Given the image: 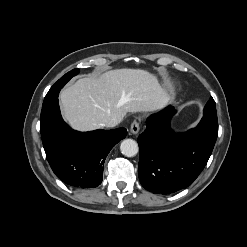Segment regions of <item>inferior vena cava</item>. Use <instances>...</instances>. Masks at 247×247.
<instances>
[{
  "label": "inferior vena cava",
  "mask_w": 247,
  "mask_h": 247,
  "mask_svg": "<svg viewBox=\"0 0 247 247\" xmlns=\"http://www.w3.org/2000/svg\"><path fill=\"white\" fill-rule=\"evenodd\" d=\"M120 122H121V120H118V119L111 120V121L107 124V127H115V126L118 125Z\"/></svg>",
  "instance_id": "1"
}]
</instances>
